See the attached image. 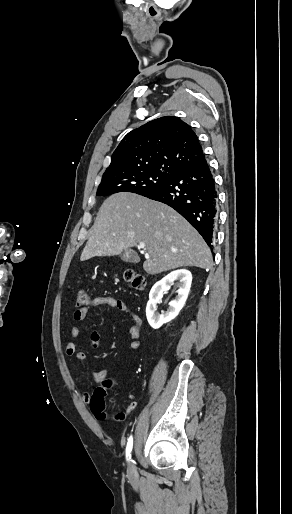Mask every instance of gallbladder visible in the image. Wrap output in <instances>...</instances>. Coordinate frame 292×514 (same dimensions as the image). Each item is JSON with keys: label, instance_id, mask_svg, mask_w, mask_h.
<instances>
[{"label": "gallbladder", "instance_id": "obj_1", "mask_svg": "<svg viewBox=\"0 0 292 514\" xmlns=\"http://www.w3.org/2000/svg\"><path fill=\"white\" fill-rule=\"evenodd\" d=\"M133 258H134V262H139V258L137 256V254H134Z\"/></svg>", "mask_w": 292, "mask_h": 514}]
</instances>
